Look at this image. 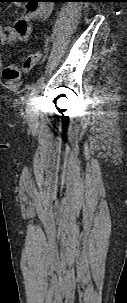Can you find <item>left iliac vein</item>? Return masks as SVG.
Segmentation results:
<instances>
[{"label":"left iliac vein","instance_id":"left-iliac-vein-1","mask_svg":"<svg viewBox=\"0 0 127 303\" xmlns=\"http://www.w3.org/2000/svg\"><path fill=\"white\" fill-rule=\"evenodd\" d=\"M26 114L30 119L34 117V107L32 100L28 101L27 103Z\"/></svg>","mask_w":127,"mask_h":303}]
</instances>
